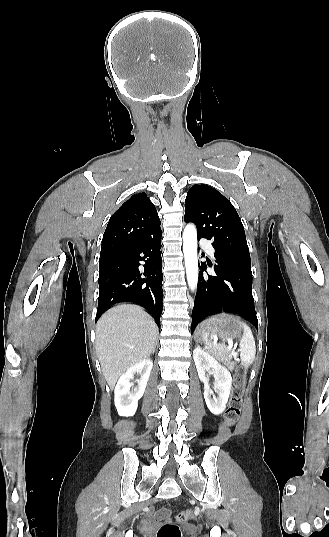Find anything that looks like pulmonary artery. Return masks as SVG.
I'll use <instances>...</instances> for the list:
<instances>
[{
	"label": "pulmonary artery",
	"instance_id": "e3ab8cb5",
	"mask_svg": "<svg viewBox=\"0 0 329 537\" xmlns=\"http://www.w3.org/2000/svg\"><path fill=\"white\" fill-rule=\"evenodd\" d=\"M200 244L206 249V251L210 254V255H213L214 253V249L213 247L211 246L210 242L206 239H201L200 240Z\"/></svg>",
	"mask_w": 329,
	"mask_h": 537
}]
</instances>
